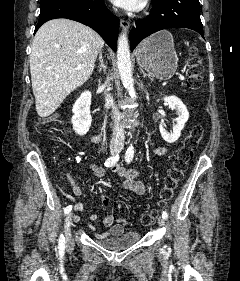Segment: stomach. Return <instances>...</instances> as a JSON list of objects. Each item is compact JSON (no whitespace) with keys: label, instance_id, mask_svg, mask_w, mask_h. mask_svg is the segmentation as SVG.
Segmentation results:
<instances>
[{"label":"stomach","instance_id":"stomach-1","mask_svg":"<svg viewBox=\"0 0 240 281\" xmlns=\"http://www.w3.org/2000/svg\"><path fill=\"white\" fill-rule=\"evenodd\" d=\"M140 68L159 80L170 79L178 66L171 33L160 31L147 38L136 51Z\"/></svg>","mask_w":240,"mask_h":281}]
</instances>
